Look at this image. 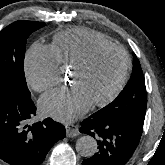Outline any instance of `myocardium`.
I'll return each instance as SVG.
<instances>
[{
    "instance_id": "f54148a6",
    "label": "myocardium",
    "mask_w": 165,
    "mask_h": 165,
    "mask_svg": "<svg viewBox=\"0 0 165 165\" xmlns=\"http://www.w3.org/2000/svg\"><path fill=\"white\" fill-rule=\"evenodd\" d=\"M107 49L117 50L123 55V58H124L123 69H122L121 75H120L117 83L113 87V89L103 98L91 102L92 106L106 105L107 103L112 101L117 96V94L121 91V89L123 88V86L126 82L128 72L130 69V58H129L128 53L126 52V50L124 48H122L121 46L116 45L114 43L100 44V45H96L92 49H90L88 51V53L72 67V70L85 69L86 67L89 66V64L92 62V60L95 58V56L99 52H101L103 50H107Z\"/></svg>"
}]
</instances>
